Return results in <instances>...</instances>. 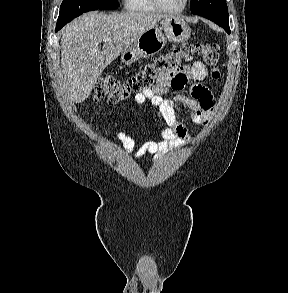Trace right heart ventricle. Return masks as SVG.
<instances>
[{
  "instance_id": "1",
  "label": "right heart ventricle",
  "mask_w": 288,
  "mask_h": 293,
  "mask_svg": "<svg viewBox=\"0 0 288 293\" xmlns=\"http://www.w3.org/2000/svg\"><path fill=\"white\" fill-rule=\"evenodd\" d=\"M125 8L131 12H156L158 9L152 0H124Z\"/></svg>"
}]
</instances>
